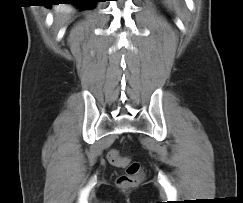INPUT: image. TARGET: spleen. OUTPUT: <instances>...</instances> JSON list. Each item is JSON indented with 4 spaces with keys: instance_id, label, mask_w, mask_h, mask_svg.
I'll list each match as a JSON object with an SVG mask.
<instances>
[{
    "instance_id": "1",
    "label": "spleen",
    "mask_w": 243,
    "mask_h": 203,
    "mask_svg": "<svg viewBox=\"0 0 243 203\" xmlns=\"http://www.w3.org/2000/svg\"><path fill=\"white\" fill-rule=\"evenodd\" d=\"M168 1V3H171L172 2V0H167Z\"/></svg>"
}]
</instances>
